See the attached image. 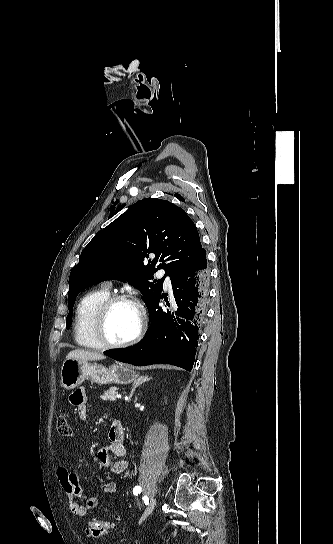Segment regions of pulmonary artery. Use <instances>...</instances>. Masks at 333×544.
I'll return each instance as SVG.
<instances>
[{
    "instance_id": "pulmonary-artery-1",
    "label": "pulmonary artery",
    "mask_w": 333,
    "mask_h": 544,
    "mask_svg": "<svg viewBox=\"0 0 333 544\" xmlns=\"http://www.w3.org/2000/svg\"><path fill=\"white\" fill-rule=\"evenodd\" d=\"M159 273H160V275H164V274H165L164 271H160ZM170 285H171L170 279H169V277H166V279H165V286H166V287H170Z\"/></svg>"
}]
</instances>
